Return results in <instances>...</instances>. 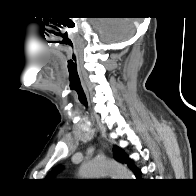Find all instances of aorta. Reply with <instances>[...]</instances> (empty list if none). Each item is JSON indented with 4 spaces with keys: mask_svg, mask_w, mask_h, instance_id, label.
<instances>
[{
    "mask_svg": "<svg viewBox=\"0 0 196 196\" xmlns=\"http://www.w3.org/2000/svg\"><path fill=\"white\" fill-rule=\"evenodd\" d=\"M80 176L95 178L111 176L114 179H133L132 172L124 165L110 159H93L83 163L80 167Z\"/></svg>",
    "mask_w": 196,
    "mask_h": 196,
    "instance_id": "aorta-1",
    "label": "aorta"
}]
</instances>
